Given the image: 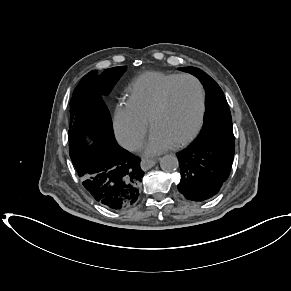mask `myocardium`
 I'll return each mask as SVG.
<instances>
[{"label": "myocardium", "instance_id": "f54148a6", "mask_svg": "<svg viewBox=\"0 0 291 291\" xmlns=\"http://www.w3.org/2000/svg\"><path fill=\"white\" fill-rule=\"evenodd\" d=\"M185 79L193 81L198 87L199 96H200L199 115H198L197 124L194 127V129L191 131V133L189 135H187L185 138H183L182 140H180L179 142L174 144L175 148H180L182 146H185L188 143H190L192 140H194L196 138V136L199 134V132L201 131L202 126L204 124V119H205V114H206V93H205V89H204V86L201 83V81L198 78H196L195 76L190 75V74L178 75L173 81H171L164 88V90L161 93V96L159 98L157 105L152 110V112L149 116V119H148L149 126L151 129H153L154 121L164 111V109L167 106L170 92L177 85L178 82L185 80Z\"/></svg>", "mask_w": 291, "mask_h": 291}]
</instances>
